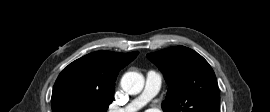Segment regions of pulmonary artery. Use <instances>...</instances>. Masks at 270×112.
<instances>
[{
	"mask_svg": "<svg viewBox=\"0 0 270 112\" xmlns=\"http://www.w3.org/2000/svg\"><path fill=\"white\" fill-rule=\"evenodd\" d=\"M162 81L163 76L161 73L153 70L149 71L146 74L145 87L141 95L134 99L128 106L114 109L110 112H136L157 95L161 88Z\"/></svg>",
	"mask_w": 270,
	"mask_h": 112,
	"instance_id": "pulmonary-artery-1",
	"label": "pulmonary artery"
}]
</instances>
